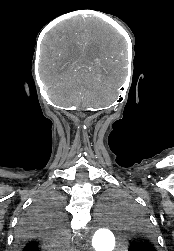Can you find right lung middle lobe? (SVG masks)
I'll use <instances>...</instances> for the list:
<instances>
[{"label":"right lung middle lobe","instance_id":"right-lung-middle-lobe-1","mask_svg":"<svg viewBox=\"0 0 174 251\" xmlns=\"http://www.w3.org/2000/svg\"><path fill=\"white\" fill-rule=\"evenodd\" d=\"M62 205L61 195L56 191H51L39 197L32 208L31 215L33 213H45L53 218L58 226H61L64 216Z\"/></svg>","mask_w":174,"mask_h":251}]
</instances>
